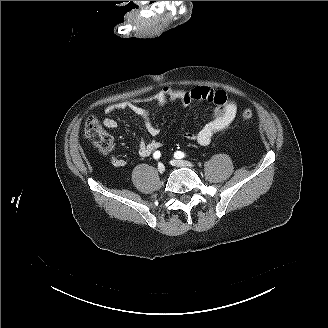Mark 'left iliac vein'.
Wrapping results in <instances>:
<instances>
[{
	"instance_id": "left-iliac-vein-1",
	"label": "left iliac vein",
	"mask_w": 328,
	"mask_h": 328,
	"mask_svg": "<svg viewBox=\"0 0 328 328\" xmlns=\"http://www.w3.org/2000/svg\"><path fill=\"white\" fill-rule=\"evenodd\" d=\"M171 164L174 166H178V167H184V166H188L191 167L193 166V164L189 161H185V160H172Z\"/></svg>"
}]
</instances>
